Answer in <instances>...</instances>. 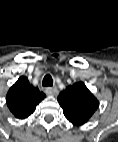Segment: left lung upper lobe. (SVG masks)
<instances>
[{"label":"left lung upper lobe","mask_w":118,"mask_h":142,"mask_svg":"<svg viewBox=\"0 0 118 142\" xmlns=\"http://www.w3.org/2000/svg\"><path fill=\"white\" fill-rule=\"evenodd\" d=\"M64 116L74 125L85 124L99 106V101L83 82L67 87L58 96Z\"/></svg>","instance_id":"1"}]
</instances>
